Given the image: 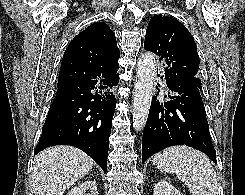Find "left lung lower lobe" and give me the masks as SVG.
<instances>
[{
  "label": "left lung lower lobe",
  "instance_id": "obj_1",
  "mask_svg": "<svg viewBox=\"0 0 245 195\" xmlns=\"http://www.w3.org/2000/svg\"><path fill=\"white\" fill-rule=\"evenodd\" d=\"M165 79L168 88L177 94L169 96L172 100L167 102L153 96L143 132L142 162L167 147L186 145L202 151L217 163L200 88L171 81L166 76Z\"/></svg>",
  "mask_w": 245,
  "mask_h": 195
}]
</instances>
